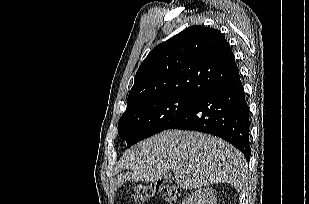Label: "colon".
I'll return each mask as SVG.
<instances>
[{"mask_svg":"<svg viewBox=\"0 0 309 204\" xmlns=\"http://www.w3.org/2000/svg\"><path fill=\"white\" fill-rule=\"evenodd\" d=\"M154 194L160 196L166 204H175L180 195V190L162 182L140 185L133 189L130 201L135 204H143Z\"/></svg>","mask_w":309,"mask_h":204,"instance_id":"1","label":"colon"}]
</instances>
